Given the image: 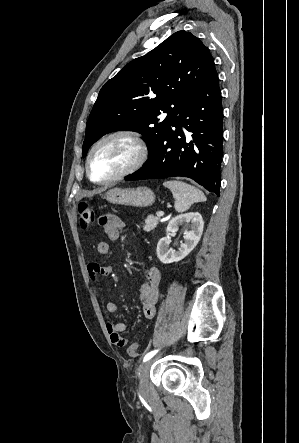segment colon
<instances>
[{"instance_id": "1", "label": "colon", "mask_w": 299, "mask_h": 443, "mask_svg": "<svg viewBox=\"0 0 299 443\" xmlns=\"http://www.w3.org/2000/svg\"><path fill=\"white\" fill-rule=\"evenodd\" d=\"M78 214H79V224L82 229H88L92 227L96 222L95 211L92 206H90L87 202L81 201L77 206ZM127 354L131 358H138L140 356L139 346L137 342L132 343L128 349Z\"/></svg>"}]
</instances>
